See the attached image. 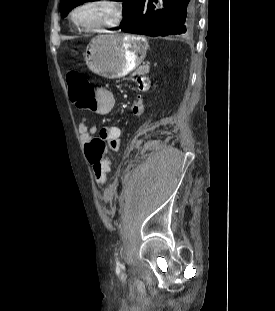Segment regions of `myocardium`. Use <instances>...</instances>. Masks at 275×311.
Listing matches in <instances>:
<instances>
[{"instance_id": "myocardium-1", "label": "myocardium", "mask_w": 275, "mask_h": 311, "mask_svg": "<svg viewBox=\"0 0 275 311\" xmlns=\"http://www.w3.org/2000/svg\"><path fill=\"white\" fill-rule=\"evenodd\" d=\"M94 5L106 7L110 11V18L97 23H87L81 21L78 18L79 13L84 9ZM124 16L125 11L120 0H85L78 3L71 9L69 13V21L74 27L78 29L93 31L117 28L122 24Z\"/></svg>"}]
</instances>
